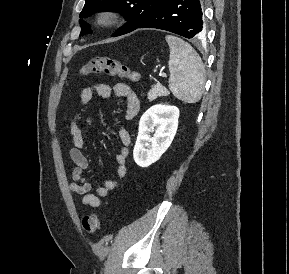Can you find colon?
Masks as SVG:
<instances>
[{"mask_svg":"<svg viewBox=\"0 0 289 274\" xmlns=\"http://www.w3.org/2000/svg\"><path fill=\"white\" fill-rule=\"evenodd\" d=\"M105 73L110 76L125 78L133 82L139 80L138 72L132 70L121 61L109 56H96L91 58L80 69L81 75ZM99 217L96 213L86 214L82 219V226L86 233L93 234L99 228Z\"/></svg>","mask_w":289,"mask_h":274,"instance_id":"obj_1","label":"colon"}]
</instances>
